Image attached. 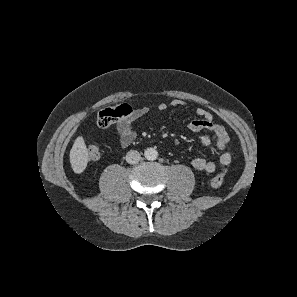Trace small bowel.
I'll return each instance as SVG.
<instances>
[{
    "instance_id": "1",
    "label": "small bowel",
    "mask_w": 297,
    "mask_h": 297,
    "mask_svg": "<svg viewBox=\"0 0 297 297\" xmlns=\"http://www.w3.org/2000/svg\"><path fill=\"white\" fill-rule=\"evenodd\" d=\"M185 102L182 100H172L169 104L166 103H160L158 105L159 111H164L168 107L171 108H178L181 106H184ZM149 113L148 107H140L133 109L131 115L127 117H123L117 120L116 122V130L119 135V141L121 146L127 147L133 143V141L136 138V132L134 130L133 124L136 120L143 118ZM196 114L198 118L191 120L188 123V129L191 132H200L203 130H207L212 133L215 140L218 142V144H222L225 146L228 141V134L224 127L220 124H217L213 121L212 114L207 111L204 108H197ZM202 144L204 146H209L211 144V137L208 135H205L202 137ZM231 162V155L224 151L218 159V162L215 163L213 161L207 160L203 157H196L192 160L191 164L194 169L197 171L205 172V173H213L220 167H226Z\"/></svg>"
}]
</instances>
